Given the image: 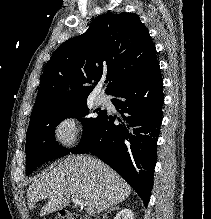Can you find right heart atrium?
<instances>
[{"label":"right heart atrium","mask_w":211,"mask_h":219,"mask_svg":"<svg viewBox=\"0 0 211 219\" xmlns=\"http://www.w3.org/2000/svg\"><path fill=\"white\" fill-rule=\"evenodd\" d=\"M83 122L73 114H65L58 118L52 126L53 141L62 148L75 147L84 135Z\"/></svg>","instance_id":"right-heart-atrium-1"}]
</instances>
